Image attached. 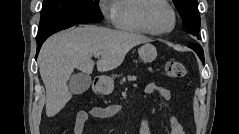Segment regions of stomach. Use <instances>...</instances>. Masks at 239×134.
I'll return each instance as SVG.
<instances>
[{
    "instance_id": "0dacf381",
    "label": "stomach",
    "mask_w": 239,
    "mask_h": 134,
    "mask_svg": "<svg viewBox=\"0 0 239 134\" xmlns=\"http://www.w3.org/2000/svg\"><path fill=\"white\" fill-rule=\"evenodd\" d=\"M140 59L145 63H151L157 57L156 47L151 43H145L138 50ZM99 92L102 94H110L114 89V81L112 78L104 76L97 84Z\"/></svg>"
}]
</instances>
